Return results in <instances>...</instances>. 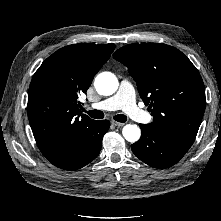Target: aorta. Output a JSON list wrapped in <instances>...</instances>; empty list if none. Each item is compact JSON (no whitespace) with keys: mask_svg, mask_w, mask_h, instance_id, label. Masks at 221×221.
I'll use <instances>...</instances> for the list:
<instances>
[{"mask_svg":"<svg viewBox=\"0 0 221 221\" xmlns=\"http://www.w3.org/2000/svg\"><path fill=\"white\" fill-rule=\"evenodd\" d=\"M118 79L111 72H102L95 78L94 86L98 94L109 96L118 89ZM122 134L129 142H136L141 136V130L138 126L127 124L123 127Z\"/></svg>","mask_w":221,"mask_h":221,"instance_id":"aorta-1","label":"aorta"}]
</instances>
